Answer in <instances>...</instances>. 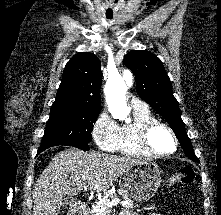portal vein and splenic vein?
Here are the masks:
<instances>
[{
  "label": "portal vein and splenic vein",
  "mask_w": 221,
  "mask_h": 215,
  "mask_svg": "<svg viewBox=\"0 0 221 215\" xmlns=\"http://www.w3.org/2000/svg\"><path fill=\"white\" fill-rule=\"evenodd\" d=\"M100 201H102V200H100ZM103 202H104V204H105L106 206L112 207V206L118 204V203L120 202V199H119V198H115V199H113L112 201H108V202H106L105 200H103Z\"/></svg>",
  "instance_id": "1"
}]
</instances>
